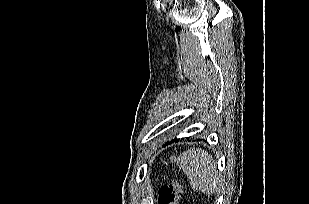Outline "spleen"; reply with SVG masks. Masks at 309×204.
<instances>
[{"instance_id":"1","label":"spleen","mask_w":309,"mask_h":204,"mask_svg":"<svg viewBox=\"0 0 309 204\" xmlns=\"http://www.w3.org/2000/svg\"><path fill=\"white\" fill-rule=\"evenodd\" d=\"M177 165L190 181L192 189L212 194L218 191L220 175L213 157L203 149H191L177 158Z\"/></svg>"}]
</instances>
